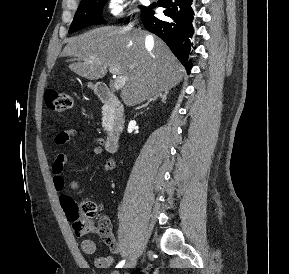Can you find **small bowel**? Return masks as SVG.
Returning a JSON list of instances; mask_svg holds the SVG:
<instances>
[{
	"label": "small bowel",
	"mask_w": 289,
	"mask_h": 274,
	"mask_svg": "<svg viewBox=\"0 0 289 274\" xmlns=\"http://www.w3.org/2000/svg\"><path fill=\"white\" fill-rule=\"evenodd\" d=\"M79 131L77 129H68L59 131L55 137L54 142L57 146L65 145L70 139L78 136ZM98 145L93 147L92 154L95 156L101 155L103 152L100 144L102 143L101 139H97ZM68 161V154L65 152H60L56 155L53 164H52V182L53 187L57 192H62L65 188V179L63 177L64 166ZM115 167V161L112 158H107L103 163L104 171H111ZM70 188L72 190L79 189V183L75 180L70 182ZM96 229L89 228L85 232H76L78 236L83 235L88 232H95ZM104 243L109 247L113 254L119 252V244L116 241L112 232L109 234V238H106L103 235H100ZM81 250L86 255H93L96 253L97 246L93 239L85 238L80 243ZM113 262L112 256L99 255L95 258L94 264L97 268L104 269L111 266Z\"/></svg>",
	"instance_id": "obj_1"
}]
</instances>
